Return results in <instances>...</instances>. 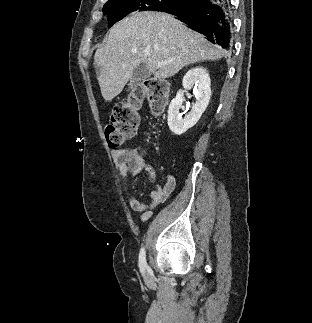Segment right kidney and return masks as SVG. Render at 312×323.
I'll return each instance as SVG.
<instances>
[{
    "label": "right kidney",
    "instance_id": "ca27d5eb",
    "mask_svg": "<svg viewBox=\"0 0 312 323\" xmlns=\"http://www.w3.org/2000/svg\"><path fill=\"white\" fill-rule=\"evenodd\" d=\"M182 84L184 90H180L176 98H173L172 102H170L167 116L168 126L171 132H174L176 136L185 134L189 128H193V126L197 124L203 112H205L211 98V80L207 68H203V66H196V68L189 70V72L185 74ZM193 84H196L197 86V92L195 94L196 102L195 104H192L191 112H188V114H185L184 118H182L181 114H179V110L182 108L184 102L183 94L186 90H191Z\"/></svg>",
    "mask_w": 312,
    "mask_h": 323
}]
</instances>
